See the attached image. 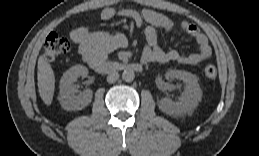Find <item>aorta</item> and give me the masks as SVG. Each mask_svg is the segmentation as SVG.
Returning a JSON list of instances; mask_svg holds the SVG:
<instances>
[{"label":"aorta","instance_id":"obj_1","mask_svg":"<svg viewBox=\"0 0 259 156\" xmlns=\"http://www.w3.org/2000/svg\"><path fill=\"white\" fill-rule=\"evenodd\" d=\"M122 78L126 82H132L135 78V73L132 69H125L122 73Z\"/></svg>","mask_w":259,"mask_h":156}]
</instances>
